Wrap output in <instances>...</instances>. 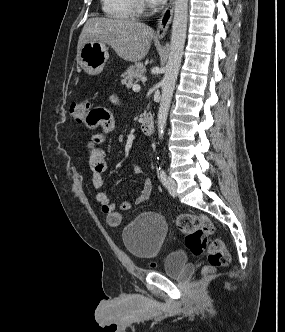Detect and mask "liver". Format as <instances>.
<instances>
[{
    "instance_id": "1",
    "label": "liver",
    "mask_w": 285,
    "mask_h": 332,
    "mask_svg": "<svg viewBox=\"0 0 285 332\" xmlns=\"http://www.w3.org/2000/svg\"><path fill=\"white\" fill-rule=\"evenodd\" d=\"M153 34L151 27L138 21L92 17L79 36L77 57L86 42L99 41L110 45L120 58L137 62L147 55Z\"/></svg>"
}]
</instances>
